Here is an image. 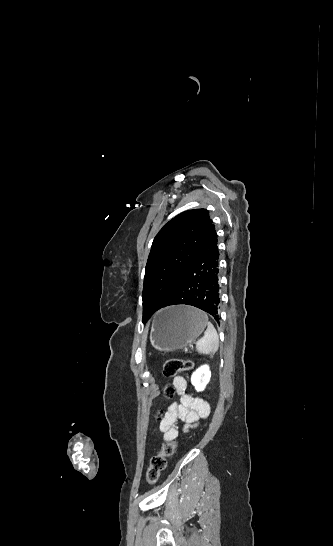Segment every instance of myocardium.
Here are the masks:
<instances>
[{"label": "myocardium", "instance_id": "myocardium-1", "mask_svg": "<svg viewBox=\"0 0 333 546\" xmlns=\"http://www.w3.org/2000/svg\"><path fill=\"white\" fill-rule=\"evenodd\" d=\"M158 297H159V295H158V294H156V293H155V294H153V296H152L153 300H157V299H158Z\"/></svg>", "mask_w": 333, "mask_h": 546}]
</instances>
